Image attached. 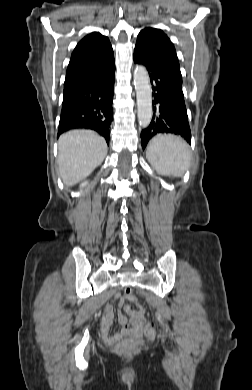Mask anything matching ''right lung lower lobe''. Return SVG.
Wrapping results in <instances>:
<instances>
[{"instance_id": "obj_1", "label": "right lung lower lobe", "mask_w": 252, "mask_h": 390, "mask_svg": "<svg viewBox=\"0 0 252 390\" xmlns=\"http://www.w3.org/2000/svg\"><path fill=\"white\" fill-rule=\"evenodd\" d=\"M115 65L101 77L82 81L63 92L58 136L74 128L97 131L109 144L113 121Z\"/></svg>"}]
</instances>
